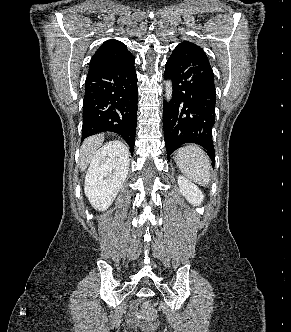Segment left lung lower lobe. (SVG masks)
Segmentation results:
<instances>
[{
  "mask_svg": "<svg viewBox=\"0 0 291 332\" xmlns=\"http://www.w3.org/2000/svg\"><path fill=\"white\" fill-rule=\"evenodd\" d=\"M164 78L172 82V99L164 104L163 125L167 157L184 143L202 146L212 162L215 150L216 92L214 73L200 47L177 46L166 62Z\"/></svg>",
  "mask_w": 291,
  "mask_h": 332,
  "instance_id": "obj_1",
  "label": "left lung lower lobe"
}]
</instances>
